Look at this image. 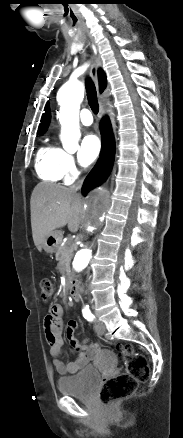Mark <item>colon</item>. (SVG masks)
Instances as JSON below:
<instances>
[{
  "mask_svg": "<svg viewBox=\"0 0 183 438\" xmlns=\"http://www.w3.org/2000/svg\"><path fill=\"white\" fill-rule=\"evenodd\" d=\"M40 287L42 301L50 302L54 294L53 282L43 279ZM113 345L118 349L120 358L125 363V371L103 382L99 397L106 407H111L117 401L133 394L138 384L149 377V365L144 356L135 353L129 344L113 343Z\"/></svg>",
  "mask_w": 183,
  "mask_h": 438,
  "instance_id": "5ec220e1",
  "label": "colon"
}]
</instances>
